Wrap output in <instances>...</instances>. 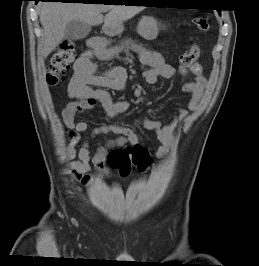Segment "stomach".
<instances>
[{"instance_id": "0dacf381", "label": "stomach", "mask_w": 259, "mask_h": 266, "mask_svg": "<svg viewBox=\"0 0 259 266\" xmlns=\"http://www.w3.org/2000/svg\"><path fill=\"white\" fill-rule=\"evenodd\" d=\"M123 31L122 24L109 27L106 33L109 35H117ZM138 33L146 40H153L158 36L159 23L153 17H144L137 28Z\"/></svg>"}]
</instances>
